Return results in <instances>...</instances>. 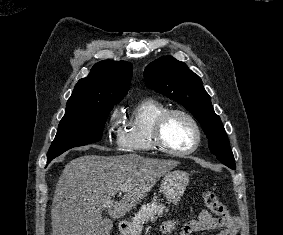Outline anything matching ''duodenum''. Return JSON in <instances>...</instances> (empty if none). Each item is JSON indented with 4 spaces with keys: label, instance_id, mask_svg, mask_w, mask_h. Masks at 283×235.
Returning a JSON list of instances; mask_svg holds the SVG:
<instances>
[{
    "label": "duodenum",
    "instance_id": "410a0bca",
    "mask_svg": "<svg viewBox=\"0 0 283 235\" xmlns=\"http://www.w3.org/2000/svg\"><path fill=\"white\" fill-rule=\"evenodd\" d=\"M118 227L121 229V230H124L126 227H127V222L126 221H120L118 223Z\"/></svg>",
    "mask_w": 283,
    "mask_h": 235
}]
</instances>
